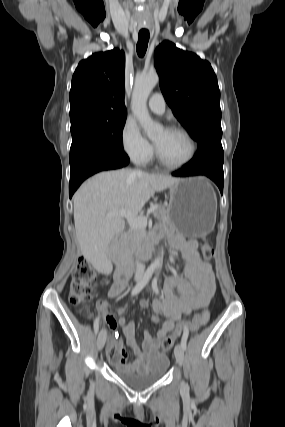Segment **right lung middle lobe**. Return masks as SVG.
<instances>
[{
  "instance_id": "dd1d6c3e",
  "label": "right lung middle lobe",
  "mask_w": 285,
  "mask_h": 427,
  "mask_svg": "<svg viewBox=\"0 0 285 427\" xmlns=\"http://www.w3.org/2000/svg\"><path fill=\"white\" fill-rule=\"evenodd\" d=\"M127 113L83 112L70 116L72 144L70 164L85 149L102 147L115 152H124L122 131Z\"/></svg>"
}]
</instances>
